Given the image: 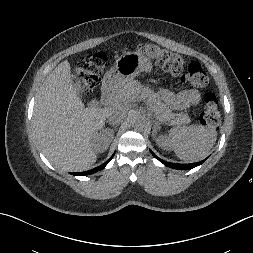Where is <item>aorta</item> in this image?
<instances>
[{"label": "aorta", "instance_id": "1", "mask_svg": "<svg viewBox=\"0 0 253 253\" xmlns=\"http://www.w3.org/2000/svg\"><path fill=\"white\" fill-rule=\"evenodd\" d=\"M133 125L137 128H143L146 125V120L141 114L136 113L133 119Z\"/></svg>", "mask_w": 253, "mask_h": 253}]
</instances>
